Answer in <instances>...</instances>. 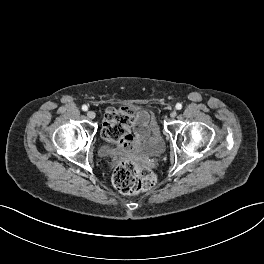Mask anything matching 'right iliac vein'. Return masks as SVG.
Segmentation results:
<instances>
[{
	"instance_id": "right-iliac-vein-1",
	"label": "right iliac vein",
	"mask_w": 264,
	"mask_h": 264,
	"mask_svg": "<svg viewBox=\"0 0 264 264\" xmlns=\"http://www.w3.org/2000/svg\"><path fill=\"white\" fill-rule=\"evenodd\" d=\"M95 116H96V114H95L94 111H91V110H90V111L87 112V117H88L89 119H94Z\"/></svg>"
}]
</instances>
